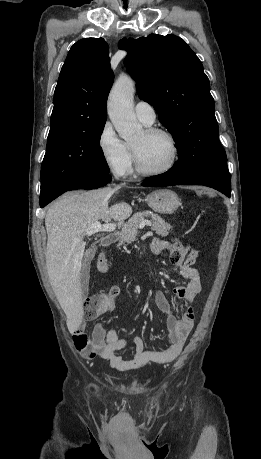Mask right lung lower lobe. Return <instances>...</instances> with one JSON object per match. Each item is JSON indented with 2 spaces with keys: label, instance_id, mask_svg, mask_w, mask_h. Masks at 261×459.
<instances>
[{
  "label": "right lung lower lobe",
  "instance_id": "1",
  "mask_svg": "<svg viewBox=\"0 0 261 459\" xmlns=\"http://www.w3.org/2000/svg\"><path fill=\"white\" fill-rule=\"evenodd\" d=\"M111 179L112 178L110 175H88L69 179L59 184L51 193H49L44 198H40V207L43 208L65 191L74 189H96L105 186L111 181Z\"/></svg>",
  "mask_w": 261,
  "mask_h": 459
}]
</instances>
